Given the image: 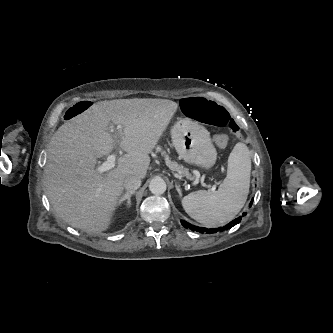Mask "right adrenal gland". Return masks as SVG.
<instances>
[{"label": "right adrenal gland", "instance_id": "right-adrenal-gland-1", "mask_svg": "<svg viewBox=\"0 0 333 333\" xmlns=\"http://www.w3.org/2000/svg\"><path fill=\"white\" fill-rule=\"evenodd\" d=\"M134 194V192H126L122 197H120L119 201H118V206H120L122 204V202H124L125 200H127V205L129 207H131V196Z\"/></svg>", "mask_w": 333, "mask_h": 333}]
</instances>
